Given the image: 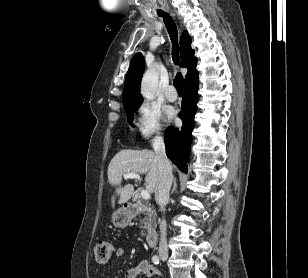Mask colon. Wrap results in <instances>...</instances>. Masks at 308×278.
Here are the masks:
<instances>
[{"label": "colon", "instance_id": "colon-1", "mask_svg": "<svg viewBox=\"0 0 308 278\" xmlns=\"http://www.w3.org/2000/svg\"><path fill=\"white\" fill-rule=\"evenodd\" d=\"M114 252L113 246L110 242L102 240L94 246V256L98 264L104 265L112 257Z\"/></svg>", "mask_w": 308, "mask_h": 278}]
</instances>
